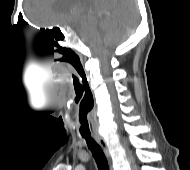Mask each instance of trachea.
<instances>
[{"instance_id":"obj_1","label":"trachea","mask_w":190,"mask_h":170,"mask_svg":"<svg viewBox=\"0 0 190 170\" xmlns=\"http://www.w3.org/2000/svg\"><path fill=\"white\" fill-rule=\"evenodd\" d=\"M86 143L92 155L96 161L97 167L99 170H109L107 158L102 151L101 147L94 141V139L90 135H83Z\"/></svg>"}]
</instances>
